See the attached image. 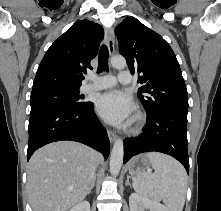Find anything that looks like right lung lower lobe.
Returning <instances> with one entry per match:
<instances>
[{
  "mask_svg": "<svg viewBox=\"0 0 221 211\" xmlns=\"http://www.w3.org/2000/svg\"><path fill=\"white\" fill-rule=\"evenodd\" d=\"M93 107L92 102H86L81 107L48 105L31 110L28 127V160L38 148L61 140L86 144L102 152L107 159L110 141Z\"/></svg>",
  "mask_w": 221,
  "mask_h": 211,
  "instance_id": "98d812e1",
  "label": "right lung lower lobe"
}]
</instances>
